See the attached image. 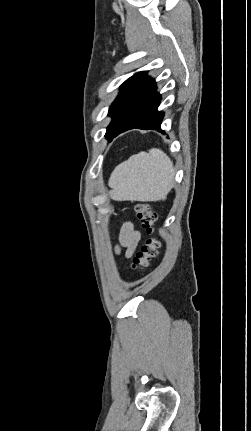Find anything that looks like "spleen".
I'll use <instances>...</instances> for the list:
<instances>
[{
    "mask_svg": "<svg viewBox=\"0 0 251 431\" xmlns=\"http://www.w3.org/2000/svg\"><path fill=\"white\" fill-rule=\"evenodd\" d=\"M174 167L160 149L132 155L115 167L108 185L110 197L116 201L165 200L173 186Z\"/></svg>",
    "mask_w": 251,
    "mask_h": 431,
    "instance_id": "obj_1",
    "label": "spleen"
}]
</instances>
